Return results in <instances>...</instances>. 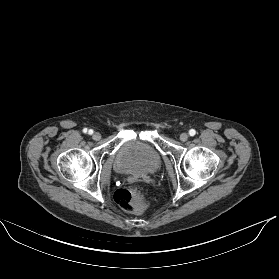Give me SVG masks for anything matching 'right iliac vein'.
Segmentation results:
<instances>
[{
	"instance_id": "obj_1",
	"label": "right iliac vein",
	"mask_w": 279,
	"mask_h": 279,
	"mask_svg": "<svg viewBox=\"0 0 279 279\" xmlns=\"http://www.w3.org/2000/svg\"><path fill=\"white\" fill-rule=\"evenodd\" d=\"M92 138L94 139V140H99L100 138H101V135H100V133H98V132H95L93 135H92Z\"/></svg>"
}]
</instances>
